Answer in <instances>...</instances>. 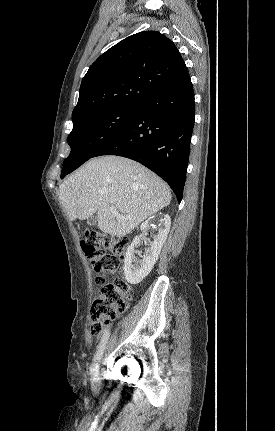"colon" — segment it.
<instances>
[{"mask_svg": "<svg viewBox=\"0 0 275 431\" xmlns=\"http://www.w3.org/2000/svg\"><path fill=\"white\" fill-rule=\"evenodd\" d=\"M128 244L127 239L98 232L88 233L81 242V248L94 268L96 281L103 285L91 307L92 335H99L106 324L123 314L131 299L129 285L123 278L105 284L106 278L121 268Z\"/></svg>", "mask_w": 275, "mask_h": 431, "instance_id": "1", "label": "colon"}]
</instances>
